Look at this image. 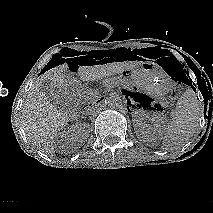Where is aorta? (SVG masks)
Listing matches in <instances>:
<instances>
[{
  "label": "aorta",
  "instance_id": "aorta-1",
  "mask_svg": "<svg viewBox=\"0 0 213 213\" xmlns=\"http://www.w3.org/2000/svg\"><path fill=\"white\" fill-rule=\"evenodd\" d=\"M106 104L111 108V109H119L122 107L123 102L122 98L119 94L117 93H112L107 99H106Z\"/></svg>",
  "mask_w": 213,
  "mask_h": 213
}]
</instances>
